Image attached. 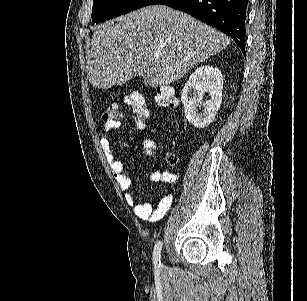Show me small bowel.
I'll return each instance as SVG.
<instances>
[{
	"label": "small bowel",
	"mask_w": 307,
	"mask_h": 301,
	"mask_svg": "<svg viewBox=\"0 0 307 301\" xmlns=\"http://www.w3.org/2000/svg\"><path fill=\"white\" fill-rule=\"evenodd\" d=\"M120 127V122H107L104 125L100 144L110 163L112 173L120 187L125 193V201L128 205L133 207L134 214L137 218L142 220H148L150 222H157L161 220L169 211L173 198L175 195V184L177 182V175L170 171H155L150 166V180L153 182H163L167 186L164 193L157 204L154 206L149 202L140 203L137 202L136 196L130 191L132 186V180L128 174L125 163L119 159L113 149L110 146L111 134ZM133 140V137H130ZM143 148L147 156L154 157L156 142L152 139H147L143 143Z\"/></svg>",
	"instance_id": "1"
}]
</instances>
